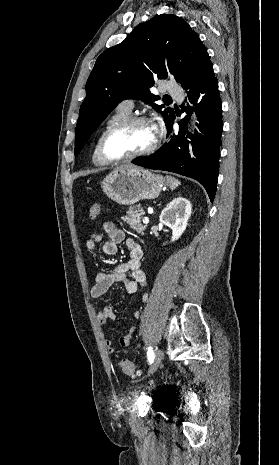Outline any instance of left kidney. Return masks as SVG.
Masks as SVG:
<instances>
[{"label": "left kidney", "mask_w": 279, "mask_h": 465, "mask_svg": "<svg viewBox=\"0 0 279 465\" xmlns=\"http://www.w3.org/2000/svg\"><path fill=\"white\" fill-rule=\"evenodd\" d=\"M192 213L190 201L184 197L173 199L161 212L160 222L172 229V239H179L184 233Z\"/></svg>", "instance_id": "obj_1"}]
</instances>
